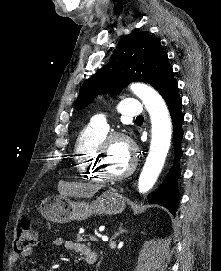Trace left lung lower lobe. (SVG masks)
Returning a JSON list of instances; mask_svg holds the SVG:
<instances>
[{
  "label": "left lung lower lobe",
  "instance_id": "obj_1",
  "mask_svg": "<svg viewBox=\"0 0 221 271\" xmlns=\"http://www.w3.org/2000/svg\"><path fill=\"white\" fill-rule=\"evenodd\" d=\"M162 97L167 103L172 121L174 135L175 160L172 168L168 172L161 186L148 195L149 203L161 204L166 207L173 215L176 214L178 206L177 178L180 175L179 159L182 155L180 142L183 137L182 122L183 114L181 113V98L178 95V84L172 82L162 93Z\"/></svg>",
  "mask_w": 221,
  "mask_h": 271
}]
</instances>
